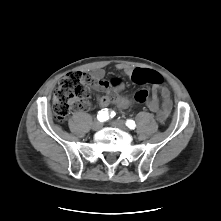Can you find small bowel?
<instances>
[{
  "mask_svg": "<svg viewBox=\"0 0 221 221\" xmlns=\"http://www.w3.org/2000/svg\"><path fill=\"white\" fill-rule=\"evenodd\" d=\"M117 68L123 71L125 74L130 75L131 77L134 70L141 69V68L133 69L129 66L122 64L118 65ZM141 70H146V69H141ZM104 76L105 73L102 69H95L89 75V81L96 89L107 90V91L116 90V93L114 94H106L99 96L98 97L99 106L106 107L111 103L116 104L117 107L120 109H125L128 106H130L131 100L120 93V91L124 87L123 82L119 79L105 80ZM135 82L141 85L148 83L145 79ZM146 105L150 111L155 113L158 121L162 122L166 120L170 115L172 107V100L168 88L164 86L154 85L153 96L147 101Z\"/></svg>",
  "mask_w": 221,
  "mask_h": 221,
  "instance_id": "1",
  "label": "small bowel"
}]
</instances>
